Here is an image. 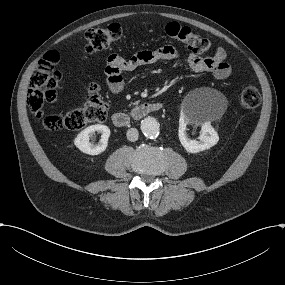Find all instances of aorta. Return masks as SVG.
<instances>
[{"label": "aorta", "instance_id": "aorta-1", "mask_svg": "<svg viewBox=\"0 0 285 285\" xmlns=\"http://www.w3.org/2000/svg\"><path fill=\"white\" fill-rule=\"evenodd\" d=\"M142 133L147 138H155L159 135V124L153 117H147L141 122Z\"/></svg>", "mask_w": 285, "mask_h": 285}]
</instances>
